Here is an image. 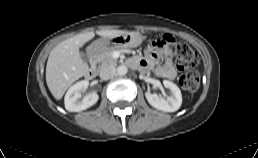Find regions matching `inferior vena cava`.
Segmentation results:
<instances>
[{
    "label": "inferior vena cava",
    "mask_w": 258,
    "mask_h": 158,
    "mask_svg": "<svg viewBox=\"0 0 258 158\" xmlns=\"http://www.w3.org/2000/svg\"><path fill=\"white\" fill-rule=\"evenodd\" d=\"M116 69L114 66H105L100 71V78L102 80H108L114 76Z\"/></svg>",
    "instance_id": "inferior-vena-cava-1"
}]
</instances>
